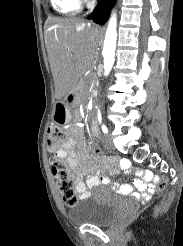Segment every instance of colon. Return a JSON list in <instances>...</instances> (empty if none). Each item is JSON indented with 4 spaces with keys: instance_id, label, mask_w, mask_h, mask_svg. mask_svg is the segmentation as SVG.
Here are the masks:
<instances>
[{
    "instance_id": "colon-1",
    "label": "colon",
    "mask_w": 183,
    "mask_h": 246,
    "mask_svg": "<svg viewBox=\"0 0 183 246\" xmlns=\"http://www.w3.org/2000/svg\"><path fill=\"white\" fill-rule=\"evenodd\" d=\"M66 110L63 106L56 109L55 119L58 123L66 120ZM65 140V134L59 126H52L48 130L47 147L51 152L56 151ZM95 155L99 157L105 156L104 149H96ZM52 173L56 178L57 188L62 196L63 202L67 206H75L78 202L77 189L75 180L69 175L66 164L61 161H55L52 164ZM145 177V175H142ZM159 191H162L167 185V179L161 177V182H154Z\"/></svg>"
}]
</instances>
